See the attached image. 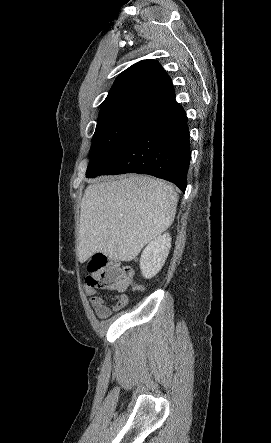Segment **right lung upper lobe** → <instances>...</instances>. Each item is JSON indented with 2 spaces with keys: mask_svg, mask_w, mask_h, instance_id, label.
<instances>
[{
  "mask_svg": "<svg viewBox=\"0 0 271 443\" xmlns=\"http://www.w3.org/2000/svg\"><path fill=\"white\" fill-rule=\"evenodd\" d=\"M175 97L172 81L155 60H142L123 71L102 103L138 100L151 104Z\"/></svg>",
  "mask_w": 271,
  "mask_h": 443,
  "instance_id": "right-lung-upper-lobe-1",
  "label": "right lung upper lobe"
}]
</instances>
